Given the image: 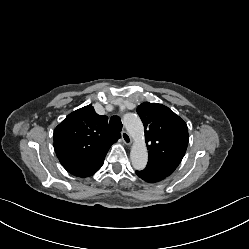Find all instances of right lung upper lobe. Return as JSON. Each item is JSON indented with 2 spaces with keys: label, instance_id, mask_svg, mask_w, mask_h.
Wrapping results in <instances>:
<instances>
[{
  "label": "right lung upper lobe",
  "instance_id": "obj_1",
  "mask_svg": "<svg viewBox=\"0 0 249 249\" xmlns=\"http://www.w3.org/2000/svg\"><path fill=\"white\" fill-rule=\"evenodd\" d=\"M120 133L108 126L107 116L92 105L69 114L54 130V149L63 167L72 175L88 177L102 166Z\"/></svg>",
  "mask_w": 249,
  "mask_h": 249
}]
</instances>
